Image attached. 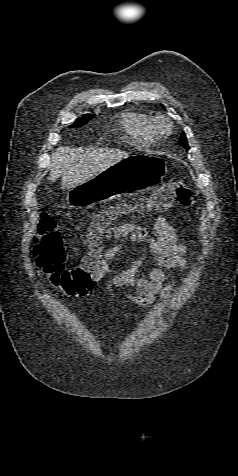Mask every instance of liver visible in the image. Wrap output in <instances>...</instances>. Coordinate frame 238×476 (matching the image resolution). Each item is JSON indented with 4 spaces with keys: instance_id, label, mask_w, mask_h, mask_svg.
I'll list each match as a JSON object with an SVG mask.
<instances>
[{
    "instance_id": "1",
    "label": "liver",
    "mask_w": 238,
    "mask_h": 476,
    "mask_svg": "<svg viewBox=\"0 0 238 476\" xmlns=\"http://www.w3.org/2000/svg\"><path fill=\"white\" fill-rule=\"evenodd\" d=\"M127 157L128 153L119 149L100 148L84 151L61 146L52 156L48 180L55 182L61 177L62 189L69 190Z\"/></svg>"
}]
</instances>
